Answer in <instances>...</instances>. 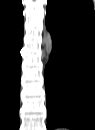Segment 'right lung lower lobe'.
I'll use <instances>...</instances> for the list:
<instances>
[{"mask_svg": "<svg viewBox=\"0 0 95 130\" xmlns=\"http://www.w3.org/2000/svg\"><path fill=\"white\" fill-rule=\"evenodd\" d=\"M23 26L0 36V114L6 129H19V91ZM4 122V123H3Z\"/></svg>", "mask_w": 95, "mask_h": 130, "instance_id": "obj_1", "label": "right lung lower lobe"}]
</instances>
